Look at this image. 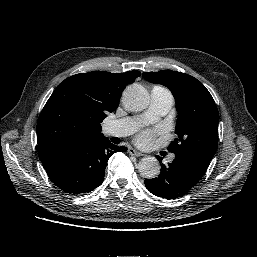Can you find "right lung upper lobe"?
I'll return each mask as SVG.
<instances>
[{
  "label": "right lung upper lobe",
  "instance_id": "obj_1",
  "mask_svg": "<svg viewBox=\"0 0 257 257\" xmlns=\"http://www.w3.org/2000/svg\"><path fill=\"white\" fill-rule=\"evenodd\" d=\"M138 76L139 71H93L61 82L37 122L40 160L70 144L103 138L100 123L118 107L123 88Z\"/></svg>",
  "mask_w": 257,
  "mask_h": 257
}]
</instances>
